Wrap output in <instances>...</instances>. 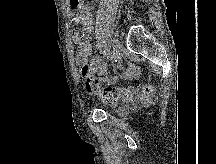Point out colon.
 <instances>
[{"label": "colon", "mask_w": 216, "mask_h": 164, "mask_svg": "<svg viewBox=\"0 0 216 164\" xmlns=\"http://www.w3.org/2000/svg\"><path fill=\"white\" fill-rule=\"evenodd\" d=\"M82 75L85 78L87 91L99 95L101 100L106 104L116 105L120 102L129 101L133 96L134 92L132 89L114 86L101 88L98 78L87 68H82ZM136 92L140 100L147 103L154 94V88L149 84H141L137 86Z\"/></svg>", "instance_id": "obj_1"}]
</instances>
